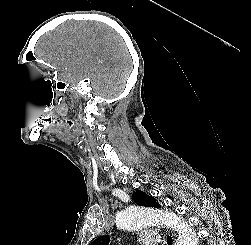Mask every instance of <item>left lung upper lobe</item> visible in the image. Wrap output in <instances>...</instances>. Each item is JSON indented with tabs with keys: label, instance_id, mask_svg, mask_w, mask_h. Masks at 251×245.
Wrapping results in <instances>:
<instances>
[{
	"label": "left lung upper lobe",
	"instance_id": "5c2ea615",
	"mask_svg": "<svg viewBox=\"0 0 251 245\" xmlns=\"http://www.w3.org/2000/svg\"><path fill=\"white\" fill-rule=\"evenodd\" d=\"M134 202L141 206L160 208V204L151 196L145 194L144 192L137 190L132 194ZM110 242V237L108 235L101 236L94 240L90 245H108Z\"/></svg>",
	"mask_w": 251,
	"mask_h": 245
}]
</instances>
